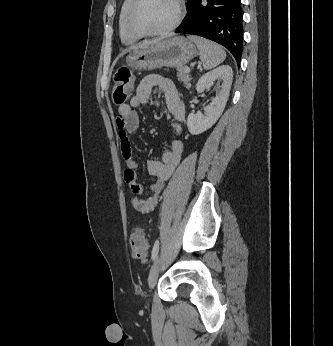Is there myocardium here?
Masks as SVG:
<instances>
[{
	"mask_svg": "<svg viewBox=\"0 0 333 346\" xmlns=\"http://www.w3.org/2000/svg\"><path fill=\"white\" fill-rule=\"evenodd\" d=\"M143 0H133V3L130 6V9L128 11V15H127V28L129 29V31L137 36H161V35H165L171 31H173L181 22L183 15H184V10H185V5H184V1L183 0H175V4H176V14L175 17L172 21V23L161 29V30H156V31H148L145 30L141 27H139L136 24V12L140 6V4L142 3Z\"/></svg>",
	"mask_w": 333,
	"mask_h": 346,
	"instance_id": "f54148a6",
	"label": "myocardium"
}]
</instances>
